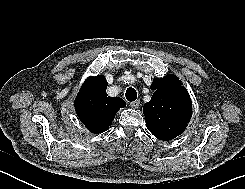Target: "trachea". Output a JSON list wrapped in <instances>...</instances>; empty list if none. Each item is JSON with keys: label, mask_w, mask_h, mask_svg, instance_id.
Returning <instances> with one entry per match:
<instances>
[{"label": "trachea", "mask_w": 245, "mask_h": 189, "mask_svg": "<svg viewBox=\"0 0 245 189\" xmlns=\"http://www.w3.org/2000/svg\"><path fill=\"white\" fill-rule=\"evenodd\" d=\"M125 96L128 101H135L137 98V92L134 88L129 87L126 90Z\"/></svg>", "instance_id": "obj_1"}]
</instances>
